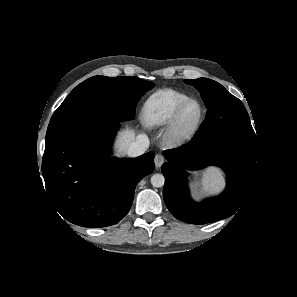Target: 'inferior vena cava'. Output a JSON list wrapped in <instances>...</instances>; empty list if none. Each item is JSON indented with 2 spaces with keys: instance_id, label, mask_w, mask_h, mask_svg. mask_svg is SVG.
I'll return each mask as SVG.
<instances>
[{
  "instance_id": "1",
  "label": "inferior vena cava",
  "mask_w": 297,
  "mask_h": 297,
  "mask_svg": "<svg viewBox=\"0 0 297 297\" xmlns=\"http://www.w3.org/2000/svg\"><path fill=\"white\" fill-rule=\"evenodd\" d=\"M148 147V136L145 134H139L136 137V140L130 144L127 154L129 157H137L144 154Z\"/></svg>"
}]
</instances>
